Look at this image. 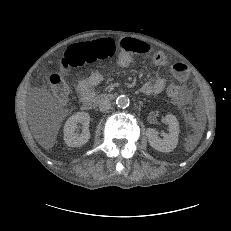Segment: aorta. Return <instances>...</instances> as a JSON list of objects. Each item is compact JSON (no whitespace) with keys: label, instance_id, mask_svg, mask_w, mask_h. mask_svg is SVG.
Returning <instances> with one entry per match:
<instances>
[{"label":"aorta","instance_id":"1","mask_svg":"<svg viewBox=\"0 0 231 231\" xmlns=\"http://www.w3.org/2000/svg\"><path fill=\"white\" fill-rule=\"evenodd\" d=\"M116 104L119 108H127L130 104V100L126 95H120L116 99Z\"/></svg>","mask_w":231,"mask_h":231}]
</instances>
